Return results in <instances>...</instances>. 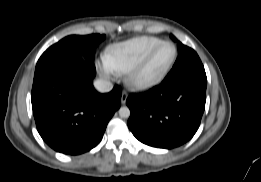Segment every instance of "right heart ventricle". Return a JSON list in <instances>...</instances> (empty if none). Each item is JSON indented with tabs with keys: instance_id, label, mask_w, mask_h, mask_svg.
<instances>
[{
	"instance_id": "obj_1",
	"label": "right heart ventricle",
	"mask_w": 261,
	"mask_h": 182,
	"mask_svg": "<svg viewBox=\"0 0 261 182\" xmlns=\"http://www.w3.org/2000/svg\"><path fill=\"white\" fill-rule=\"evenodd\" d=\"M161 42L160 38L154 36L135 37L111 45L107 50L106 59L114 71L127 73L153 47Z\"/></svg>"
}]
</instances>
